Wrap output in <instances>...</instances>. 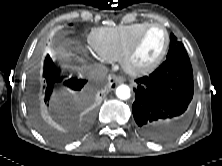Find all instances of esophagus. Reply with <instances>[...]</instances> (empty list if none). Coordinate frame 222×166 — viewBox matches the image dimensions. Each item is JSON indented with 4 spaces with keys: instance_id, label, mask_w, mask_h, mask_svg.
I'll list each match as a JSON object with an SVG mask.
<instances>
[{
    "instance_id": "1",
    "label": "esophagus",
    "mask_w": 222,
    "mask_h": 166,
    "mask_svg": "<svg viewBox=\"0 0 222 166\" xmlns=\"http://www.w3.org/2000/svg\"><path fill=\"white\" fill-rule=\"evenodd\" d=\"M115 82L120 84V83H124L126 81V79L123 76H117L115 77Z\"/></svg>"
}]
</instances>
